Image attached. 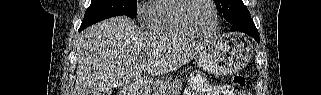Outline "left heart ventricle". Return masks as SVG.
I'll return each mask as SVG.
<instances>
[{"instance_id": "b2bd125f", "label": "left heart ventricle", "mask_w": 321, "mask_h": 95, "mask_svg": "<svg viewBox=\"0 0 321 95\" xmlns=\"http://www.w3.org/2000/svg\"><path fill=\"white\" fill-rule=\"evenodd\" d=\"M188 18L200 32H210L215 25L213 8L207 0L193 1L188 11Z\"/></svg>"}]
</instances>
